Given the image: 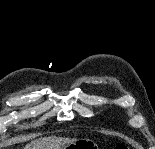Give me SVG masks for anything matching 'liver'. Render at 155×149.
<instances>
[{"instance_id": "1", "label": "liver", "mask_w": 155, "mask_h": 149, "mask_svg": "<svg viewBox=\"0 0 155 149\" xmlns=\"http://www.w3.org/2000/svg\"><path fill=\"white\" fill-rule=\"evenodd\" d=\"M76 139L63 137H44L31 141L24 149H60L61 147L75 142Z\"/></svg>"}]
</instances>
